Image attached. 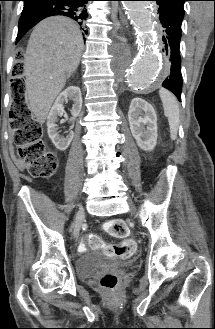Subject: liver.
<instances>
[{
    "label": "liver",
    "mask_w": 215,
    "mask_h": 329,
    "mask_svg": "<svg viewBox=\"0 0 215 329\" xmlns=\"http://www.w3.org/2000/svg\"><path fill=\"white\" fill-rule=\"evenodd\" d=\"M84 47L75 21L55 16L33 29L24 58L26 100L39 123L77 69Z\"/></svg>",
    "instance_id": "1"
}]
</instances>
